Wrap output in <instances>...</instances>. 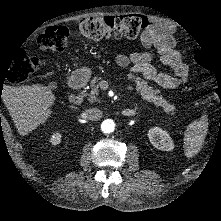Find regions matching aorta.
Instances as JSON below:
<instances>
[{
  "mask_svg": "<svg viewBox=\"0 0 221 221\" xmlns=\"http://www.w3.org/2000/svg\"><path fill=\"white\" fill-rule=\"evenodd\" d=\"M102 131L106 134H112L115 131L116 124L111 119H106L102 123Z\"/></svg>",
  "mask_w": 221,
  "mask_h": 221,
  "instance_id": "aorta-1",
  "label": "aorta"
}]
</instances>
